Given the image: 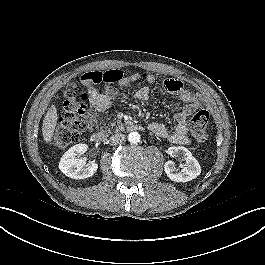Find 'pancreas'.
Masks as SVG:
<instances>
[{
	"instance_id": "1",
	"label": "pancreas",
	"mask_w": 265,
	"mask_h": 265,
	"mask_svg": "<svg viewBox=\"0 0 265 265\" xmlns=\"http://www.w3.org/2000/svg\"><path fill=\"white\" fill-rule=\"evenodd\" d=\"M118 129H117V131L118 130H120V131H122V130H124V125H122V124H120V122H118Z\"/></svg>"
}]
</instances>
